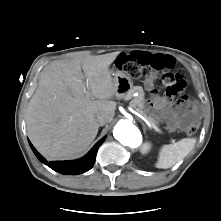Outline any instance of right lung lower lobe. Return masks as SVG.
<instances>
[{
    "label": "right lung lower lobe",
    "instance_id": "98d812e1",
    "mask_svg": "<svg viewBox=\"0 0 221 221\" xmlns=\"http://www.w3.org/2000/svg\"><path fill=\"white\" fill-rule=\"evenodd\" d=\"M105 138L101 139L99 142H97L94 147L91 149V151L84 156L81 159L72 160V161H52L47 162L46 159H44L37 150L33 147L31 142L29 141L30 147L33 150L34 154L37 156V158L47 166H49L51 169L55 170L58 173L61 174H70V175H77L84 173L92 168L95 159L96 154L99 146L103 143Z\"/></svg>",
    "mask_w": 221,
    "mask_h": 221
}]
</instances>
